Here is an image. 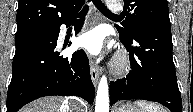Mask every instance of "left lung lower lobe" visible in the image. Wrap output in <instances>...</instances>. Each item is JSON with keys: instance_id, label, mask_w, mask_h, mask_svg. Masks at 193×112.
<instances>
[{"instance_id": "obj_1", "label": "left lung lower lobe", "mask_w": 193, "mask_h": 112, "mask_svg": "<svg viewBox=\"0 0 193 112\" xmlns=\"http://www.w3.org/2000/svg\"><path fill=\"white\" fill-rule=\"evenodd\" d=\"M120 38L129 52V74L110 84V105L127 99L158 102L182 112V100L172 58L171 25L142 30L132 40Z\"/></svg>"}]
</instances>
